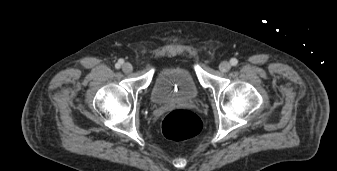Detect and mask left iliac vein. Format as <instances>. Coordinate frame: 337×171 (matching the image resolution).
I'll return each mask as SVG.
<instances>
[{"label":"left iliac vein","mask_w":337,"mask_h":171,"mask_svg":"<svg viewBox=\"0 0 337 171\" xmlns=\"http://www.w3.org/2000/svg\"><path fill=\"white\" fill-rule=\"evenodd\" d=\"M230 68H231V65H230V63L227 62V61H223V62H221L220 65H219V70H220L221 72H223V73L228 72V71L230 70Z\"/></svg>","instance_id":"4c4485c4"}]
</instances>
